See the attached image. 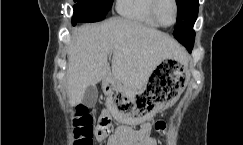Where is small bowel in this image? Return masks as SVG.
I'll use <instances>...</instances> for the list:
<instances>
[{
  "label": "small bowel",
  "instance_id": "c3829d8e",
  "mask_svg": "<svg viewBox=\"0 0 243 145\" xmlns=\"http://www.w3.org/2000/svg\"><path fill=\"white\" fill-rule=\"evenodd\" d=\"M104 115L109 116L106 110L100 114V116ZM150 132L151 127L148 123H143L138 129L119 126L107 138H98L97 140L104 145H157Z\"/></svg>",
  "mask_w": 243,
  "mask_h": 145
}]
</instances>
